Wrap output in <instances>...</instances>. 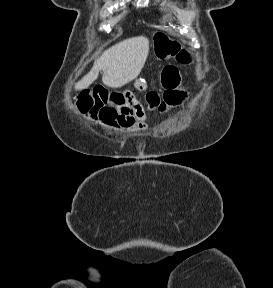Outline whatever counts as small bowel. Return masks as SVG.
<instances>
[{"label":"small bowel","mask_w":273,"mask_h":288,"mask_svg":"<svg viewBox=\"0 0 273 288\" xmlns=\"http://www.w3.org/2000/svg\"><path fill=\"white\" fill-rule=\"evenodd\" d=\"M137 121L136 123L132 126L131 130L132 131H142L146 130L148 128V125L146 123L147 116L142 110L141 107L138 106V112H137Z\"/></svg>","instance_id":"c3829d8e"}]
</instances>
